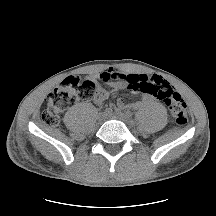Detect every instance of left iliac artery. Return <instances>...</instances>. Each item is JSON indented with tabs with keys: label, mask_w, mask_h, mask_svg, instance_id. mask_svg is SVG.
<instances>
[{
	"label": "left iliac artery",
	"mask_w": 216,
	"mask_h": 216,
	"mask_svg": "<svg viewBox=\"0 0 216 216\" xmlns=\"http://www.w3.org/2000/svg\"><path fill=\"white\" fill-rule=\"evenodd\" d=\"M125 115L130 118V117H132L133 114L131 111L127 110V111H125Z\"/></svg>",
	"instance_id": "obj_1"
}]
</instances>
